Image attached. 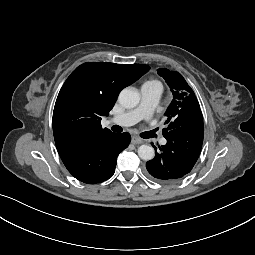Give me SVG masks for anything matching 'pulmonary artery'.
<instances>
[{"instance_id":"obj_1","label":"pulmonary artery","mask_w":255,"mask_h":255,"mask_svg":"<svg viewBox=\"0 0 255 255\" xmlns=\"http://www.w3.org/2000/svg\"><path fill=\"white\" fill-rule=\"evenodd\" d=\"M161 91L162 88L159 83H145L141 87L140 104L135 109L116 115L111 119V122L120 126H131L142 119L150 117L159 101ZM161 144H166V140L162 139Z\"/></svg>"}]
</instances>
